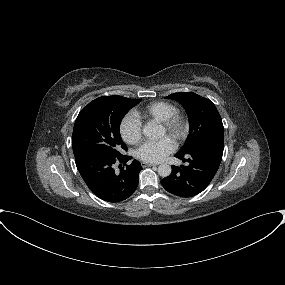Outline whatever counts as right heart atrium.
Masks as SVG:
<instances>
[{
	"label": "right heart atrium",
	"mask_w": 285,
	"mask_h": 285,
	"mask_svg": "<svg viewBox=\"0 0 285 285\" xmlns=\"http://www.w3.org/2000/svg\"><path fill=\"white\" fill-rule=\"evenodd\" d=\"M119 132L126 143L135 145L142 137V122L134 113H128L121 119Z\"/></svg>",
	"instance_id": "obj_1"
}]
</instances>
